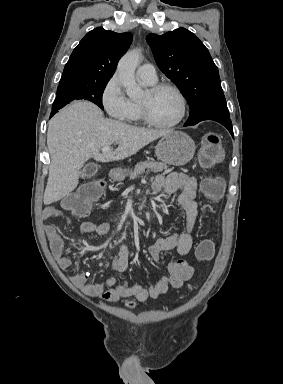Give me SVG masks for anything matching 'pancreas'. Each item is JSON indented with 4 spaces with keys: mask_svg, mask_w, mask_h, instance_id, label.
Masks as SVG:
<instances>
[{
    "mask_svg": "<svg viewBox=\"0 0 283 384\" xmlns=\"http://www.w3.org/2000/svg\"><path fill=\"white\" fill-rule=\"evenodd\" d=\"M169 166L167 164H162V162H150V160H147V162H139V164H136L133 172H130V180H135V178H138L140 174H143V172H163V170H167Z\"/></svg>",
    "mask_w": 283,
    "mask_h": 384,
    "instance_id": "pancreas-1",
    "label": "pancreas"
}]
</instances>
